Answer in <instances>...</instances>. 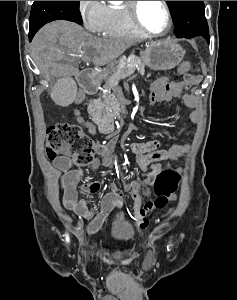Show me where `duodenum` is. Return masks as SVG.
<instances>
[{
	"label": "duodenum",
	"instance_id": "duodenum-1",
	"mask_svg": "<svg viewBox=\"0 0 237 300\" xmlns=\"http://www.w3.org/2000/svg\"><path fill=\"white\" fill-rule=\"evenodd\" d=\"M78 82L86 94L93 95L99 87L100 76L95 71L85 70L80 73ZM88 113L101 133L108 134L115 131L114 122L103 112L96 100L92 99L88 102Z\"/></svg>",
	"mask_w": 237,
	"mask_h": 300
}]
</instances>
